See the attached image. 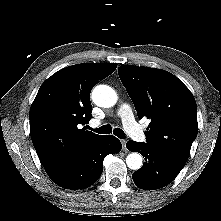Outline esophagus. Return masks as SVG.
<instances>
[{"label":"esophagus","mask_w":221,"mask_h":221,"mask_svg":"<svg viewBox=\"0 0 221 221\" xmlns=\"http://www.w3.org/2000/svg\"><path fill=\"white\" fill-rule=\"evenodd\" d=\"M121 143H122V149L124 150V151H126L127 150V148H126V140H121Z\"/></svg>","instance_id":"1"}]
</instances>
